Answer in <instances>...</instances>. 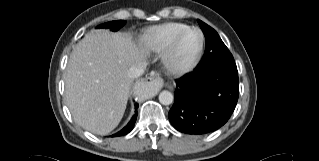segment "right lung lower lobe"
Returning <instances> with one entry per match:
<instances>
[{"instance_id":"right-lung-lower-lobe-1","label":"right lung lower lobe","mask_w":319,"mask_h":161,"mask_svg":"<svg viewBox=\"0 0 319 161\" xmlns=\"http://www.w3.org/2000/svg\"><path fill=\"white\" fill-rule=\"evenodd\" d=\"M137 107H138V104L135 105L136 109H137ZM136 116H137V111H135V115L132 117L131 121L121 131H119L118 133L112 135V137H114V136H122V135L128 134L133 129V126H134V124L136 122Z\"/></svg>"}]
</instances>
